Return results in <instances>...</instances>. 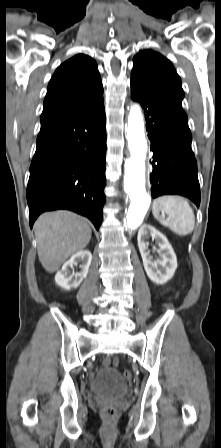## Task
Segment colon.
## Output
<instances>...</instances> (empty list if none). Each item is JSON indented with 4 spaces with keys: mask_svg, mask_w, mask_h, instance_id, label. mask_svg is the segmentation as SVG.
I'll use <instances>...</instances> for the list:
<instances>
[{
    "mask_svg": "<svg viewBox=\"0 0 221 448\" xmlns=\"http://www.w3.org/2000/svg\"><path fill=\"white\" fill-rule=\"evenodd\" d=\"M102 364H103V366H105V367H107V366H109V365H113L114 367H118L119 366V364H120V362H119V360L118 359H114V360H110V359H108V358H105L103 361H102ZM123 375H124V377H126V378H130L131 377V372L129 371V370H125L124 372H123ZM102 414H103V417L106 419V420H114L115 418H116V416H117V409L114 407V406H112V405H106V406H104V408L102 409Z\"/></svg>",
    "mask_w": 221,
    "mask_h": 448,
    "instance_id": "colon-1",
    "label": "colon"
}]
</instances>
